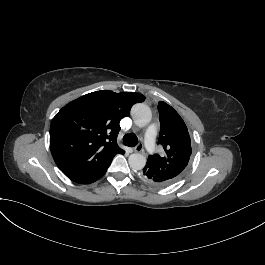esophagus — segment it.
<instances>
[{"instance_id": "obj_1", "label": "esophagus", "mask_w": 265, "mask_h": 265, "mask_svg": "<svg viewBox=\"0 0 265 265\" xmlns=\"http://www.w3.org/2000/svg\"><path fill=\"white\" fill-rule=\"evenodd\" d=\"M143 151V144L139 143L135 148L134 152H142Z\"/></svg>"}]
</instances>
